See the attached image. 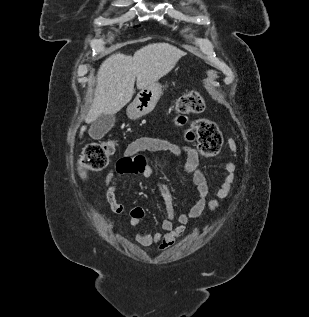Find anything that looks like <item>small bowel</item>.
<instances>
[{
    "label": "small bowel",
    "instance_id": "1",
    "mask_svg": "<svg viewBox=\"0 0 309 317\" xmlns=\"http://www.w3.org/2000/svg\"><path fill=\"white\" fill-rule=\"evenodd\" d=\"M177 124L185 123V117H179ZM195 139L193 131L187 130L185 133L186 144L177 145L165 139L141 136L129 143L123 153V156L116 163V172L118 174H140L144 178H152L154 175L153 168L148 164L145 152H169L174 157L186 155L185 170L192 176L193 184L197 190V197L193 206L187 211L181 213L177 217L178 224L174 223V208L172 205V192L168 185L160 184V192L166 200L165 216L161 222V228L164 233L150 234L145 232L141 227V221L145 215L142 207H135L130 212V223L134 228V237L143 247L150 249L151 246L157 245L159 251H166L171 248L175 242L185 233L186 225L193 218L203 216V211L208 208L211 211L216 210L220 205V200L229 196L236 175V164L230 160L225 161L223 168L226 172L212 196L213 198L207 201L209 195V187L203 172L198 168L199 154L197 150L191 146ZM228 147L237 155L238 148L235 139L228 140ZM117 176L114 171H109L105 177V196L111 210L116 214H121L124 211L123 205L116 197Z\"/></svg>",
    "mask_w": 309,
    "mask_h": 317
}]
</instances>
